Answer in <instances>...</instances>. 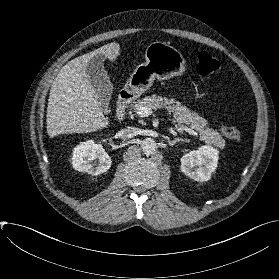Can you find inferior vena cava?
<instances>
[{
  "mask_svg": "<svg viewBox=\"0 0 279 279\" xmlns=\"http://www.w3.org/2000/svg\"><path fill=\"white\" fill-rule=\"evenodd\" d=\"M120 137L123 139H129L137 135V129L135 127H126L120 132Z\"/></svg>",
  "mask_w": 279,
  "mask_h": 279,
  "instance_id": "inferior-vena-cava-1",
  "label": "inferior vena cava"
}]
</instances>
